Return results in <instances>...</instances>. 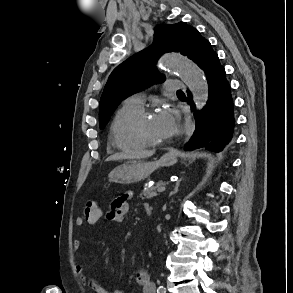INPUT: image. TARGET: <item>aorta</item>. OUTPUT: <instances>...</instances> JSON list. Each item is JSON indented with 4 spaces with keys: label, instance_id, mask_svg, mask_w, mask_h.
<instances>
[{
    "label": "aorta",
    "instance_id": "762f6f07",
    "mask_svg": "<svg viewBox=\"0 0 293 293\" xmlns=\"http://www.w3.org/2000/svg\"><path fill=\"white\" fill-rule=\"evenodd\" d=\"M160 62L164 69L179 74L191 91L197 109H202L208 100V84L199 67L176 53L164 55Z\"/></svg>",
    "mask_w": 293,
    "mask_h": 293
}]
</instances>
